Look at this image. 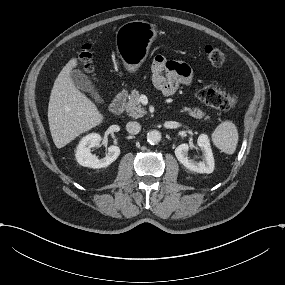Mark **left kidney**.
I'll return each instance as SVG.
<instances>
[{"instance_id": "left-kidney-1", "label": "left kidney", "mask_w": 285, "mask_h": 285, "mask_svg": "<svg viewBox=\"0 0 285 285\" xmlns=\"http://www.w3.org/2000/svg\"><path fill=\"white\" fill-rule=\"evenodd\" d=\"M197 144L203 150V161L196 162L188 158V144H181L175 149V156L187 169L197 173L210 174L214 171V157L210 147L209 138L206 134L198 137Z\"/></svg>"}]
</instances>
